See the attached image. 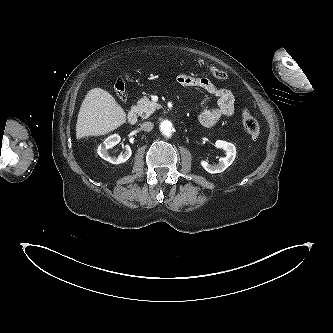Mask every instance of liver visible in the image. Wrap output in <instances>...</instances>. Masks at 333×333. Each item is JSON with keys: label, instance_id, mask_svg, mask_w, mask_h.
Returning <instances> with one entry per match:
<instances>
[{"label": "liver", "instance_id": "liver-1", "mask_svg": "<svg viewBox=\"0 0 333 333\" xmlns=\"http://www.w3.org/2000/svg\"><path fill=\"white\" fill-rule=\"evenodd\" d=\"M126 122V113L115 98L101 88L91 89L80 107L76 138L104 135Z\"/></svg>", "mask_w": 333, "mask_h": 333}]
</instances>
